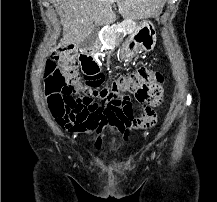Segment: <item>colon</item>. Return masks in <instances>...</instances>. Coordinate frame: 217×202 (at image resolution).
Masks as SVG:
<instances>
[{"label":"colon","mask_w":217,"mask_h":202,"mask_svg":"<svg viewBox=\"0 0 217 202\" xmlns=\"http://www.w3.org/2000/svg\"><path fill=\"white\" fill-rule=\"evenodd\" d=\"M78 47H53L52 55L44 59L48 73L41 71L45 82V102L50 106V117H57L59 126L75 132L88 129H105L114 131H136L150 127L156 122V115L149 113L145 117L134 116L130 108V95L133 94L139 107L147 108L162 102L164 94V75L159 72H148L146 69H135L127 78L120 79L109 88L91 91L73 82L81 78L76 55ZM58 60V63H54ZM100 97L101 102L93 98Z\"/></svg>","instance_id":"5ec220e1"}]
</instances>
